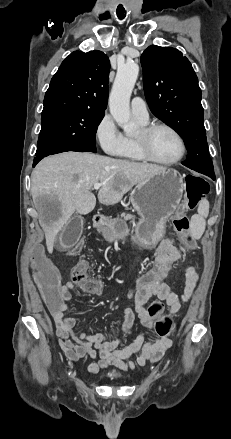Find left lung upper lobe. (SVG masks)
Segmentation results:
<instances>
[{
	"label": "left lung upper lobe",
	"mask_w": 231,
	"mask_h": 439,
	"mask_svg": "<svg viewBox=\"0 0 231 439\" xmlns=\"http://www.w3.org/2000/svg\"><path fill=\"white\" fill-rule=\"evenodd\" d=\"M143 84L151 112L183 138L188 156L182 163L215 175L204 127L201 89L189 60L171 47L149 46L141 56Z\"/></svg>",
	"instance_id": "5c2ea615"
}]
</instances>
